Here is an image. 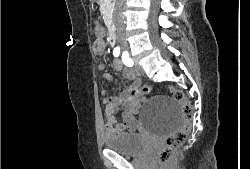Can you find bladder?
<instances>
[{
    "label": "bladder",
    "mask_w": 250,
    "mask_h": 169,
    "mask_svg": "<svg viewBox=\"0 0 250 169\" xmlns=\"http://www.w3.org/2000/svg\"><path fill=\"white\" fill-rule=\"evenodd\" d=\"M104 144L108 151L126 156H140L149 148L137 133H111L104 138Z\"/></svg>",
    "instance_id": "obj_1"
}]
</instances>
